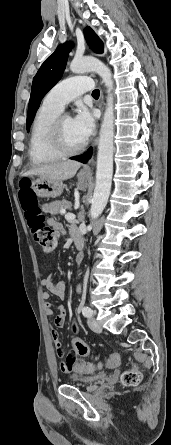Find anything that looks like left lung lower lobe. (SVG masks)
<instances>
[{"instance_id":"left-lung-lower-lobe-1","label":"left lung lower lobe","mask_w":171,"mask_h":445,"mask_svg":"<svg viewBox=\"0 0 171 445\" xmlns=\"http://www.w3.org/2000/svg\"><path fill=\"white\" fill-rule=\"evenodd\" d=\"M92 152H93V148L90 147L89 150L86 151L85 153H83L79 156H76V157H72L71 159L80 161L82 163H86L88 161V159H90V157L92 156Z\"/></svg>"}]
</instances>
